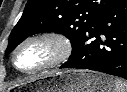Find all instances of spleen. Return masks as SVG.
Here are the masks:
<instances>
[{
  "instance_id": "3e777b00",
  "label": "spleen",
  "mask_w": 127,
  "mask_h": 92,
  "mask_svg": "<svg viewBox=\"0 0 127 92\" xmlns=\"http://www.w3.org/2000/svg\"><path fill=\"white\" fill-rule=\"evenodd\" d=\"M114 92H127V82L116 78L114 81Z\"/></svg>"
}]
</instances>
